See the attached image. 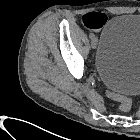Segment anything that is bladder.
<instances>
[{
  "instance_id": "bladder-1",
  "label": "bladder",
  "mask_w": 140,
  "mask_h": 140,
  "mask_svg": "<svg viewBox=\"0 0 140 140\" xmlns=\"http://www.w3.org/2000/svg\"><path fill=\"white\" fill-rule=\"evenodd\" d=\"M95 68L107 89L123 96L140 93V14L118 15L105 25Z\"/></svg>"
}]
</instances>
